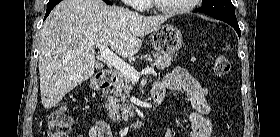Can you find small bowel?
I'll return each mask as SVG.
<instances>
[{"label":"small bowel","instance_id":"obj_1","mask_svg":"<svg viewBox=\"0 0 280 137\" xmlns=\"http://www.w3.org/2000/svg\"><path fill=\"white\" fill-rule=\"evenodd\" d=\"M159 84L163 92L170 90L183 93L191 102L193 111L188 115L189 131L187 137H210L213 126L210 119L212 106L208 99V88L191 76L185 68L176 67L165 76ZM103 128L108 126L104 123L98 125V131L92 132L88 137H103ZM111 134V132H110ZM163 137H174L173 129H169Z\"/></svg>","mask_w":280,"mask_h":137}]
</instances>
